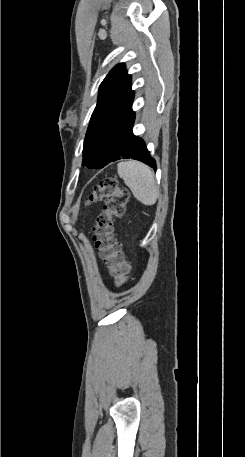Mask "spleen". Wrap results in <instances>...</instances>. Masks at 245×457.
I'll list each match as a JSON object with an SVG mask.
<instances>
[{"mask_svg":"<svg viewBox=\"0 0 245 457\" xmlns=\"http://www.w3.org/2000/svg\"><path fill=\"white\" fill-rule=\"evenodd\" d=\"M117 172L132 190L135 198H138L143 204H155L158 186L150 166L129 158V160L118 162Z\"/></svg>","mask_w":245,"mask_h":457,"instance_id":"1","label":"spleen"}]
</instances>
